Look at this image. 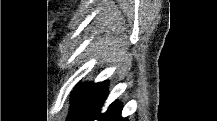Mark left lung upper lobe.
Returning a JSON list of instances; mask_svg holds the SVG:
<instances>
[{
    "mask_svg": "<svg viewBox=\"0 0 217 121\" xmlns=\"http://www.w3.org/2000/svg\"><path fill=\"white\" fill-rule=\"evenodd\" d=\"M92 84H84L83 86L79 83L73 90V99L70 105V110L67 119L69 121H75L81 114L89 95Z\"/></svg>",
    "mask_w": 217,
    "mask_h": 121,
    "instance_id": "1",
    "label": "left lung upper lobe"
}]
</instances>
